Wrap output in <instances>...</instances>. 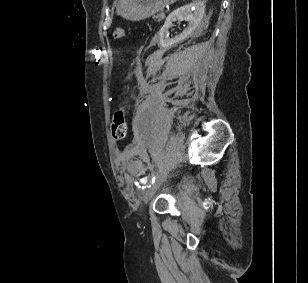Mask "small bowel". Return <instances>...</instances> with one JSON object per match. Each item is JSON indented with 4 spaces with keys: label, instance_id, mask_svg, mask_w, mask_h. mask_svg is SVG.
I'll list each match as a JSON object with an SVG mask.
<instances>
[{
    "label": "small bowel",
    "instance_id": "1",
    "mask_svg": "<svg viewBox=\"0 0 308 283\" xmlns=\"http://www.w3.org/2000/svg\"><path fill=\"white\" fill-rule=\"evenodd\" d=\"M118 167H119L120 171H122V172H125V171H126V166H125L124 162L121 161V160H120L119 163H118ZM126 177H127V178H130V175H129V174H126Z\"/></svg>",
    "mask_w": 308,
    "mask_h": 283
}]
</instances>
